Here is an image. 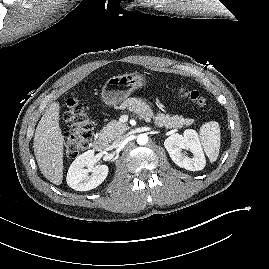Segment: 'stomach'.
<instances>
[{"label":"stomach","mask_w":269,"mask_h":269,"mask_svg":"<svg viewBox=\"0 0 269 269\" xmlns=\"http://www.w3.org/2000/svg\"><path fill=\"white\" fill-rule=\"evenodd\" d=\"M147 85V79L138 72L114 76L106 81L101 93L102 101L117 107L135 90Z\"/></svg>","instance_id":"obj_1"}]
</instances>
